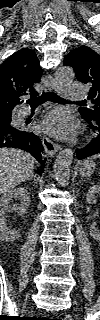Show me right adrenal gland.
<instances>
[{"label":"right adrenal gland","mask_w":100,"mask_h":320,"mask_svg":"<svg viewBox=\"0 0 100 320\" xmlns=\"http://www.w3.org/2000/svg\"><path fill=\"white\" fill-rule=\"evenodd\" d=\"M31 179L36 180V179H35V176H34V173H32L31 176H30L27 180H31Z\"/></svg>","instance_id":"right-adrenal-gland-1"}]
</instances>
